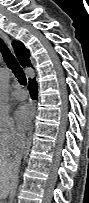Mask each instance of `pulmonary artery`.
<instances>
[{"mask_svg": "<svg viewBox=\"0 0 89 203\" xmlns=\"http://www.w3.org/2000/svg\"><path fill=\"white\" fill-rule=\"evenodd\" d=\"M12 96L19 101L25 100L27 98V92L22 89H16L12 92Z\"/></svg>", "mask_w": 89, "mask_h": 203, "instance_id": "e3ab8cb5", "label": "pulmonary artery"}]
</instances>
